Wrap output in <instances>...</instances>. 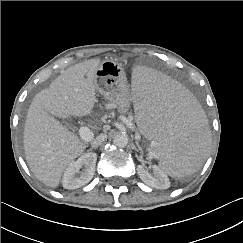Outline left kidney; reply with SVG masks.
<instances>
[{"mask_svg":"<svg viewBox=\"0 0 243 243\" xmlns=\"http://www.w3.org/2000/svg\"><path fill=\"white\" fill-rule=\"evenodd\" d=\"M138 174L141 180L151 186L158 189H167L170 185L167 175L162 172L158 167L154 168V176L151 175L143 165H138L137 167Z\"/></svg>","mask_w":243,"mask_h":243,"instance_id":"left-kidney-1","label":"left kidney"}]
</instances>
